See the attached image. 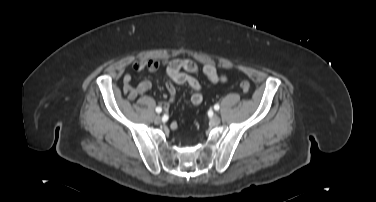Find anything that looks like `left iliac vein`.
Masks as SVG:
<instances>
[{"label":"left iliac vein","mask_w":376,"mask_h":202,"mask_svg":"<svg viewBox=\"0 0 376 202\" xmlns=\"http://www.w3.org/2000/svg\"><path fill=\"white\" fill-rule=\"evenodd\" d=\"M210 122H211L212 125L216 126V125L220 124L221 119H220L219 116H217V115H213V116L211 117V119H210Z\"/></svg>","instance_id":"left-iliac-vein-1"}]
</instances>
